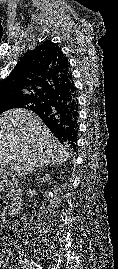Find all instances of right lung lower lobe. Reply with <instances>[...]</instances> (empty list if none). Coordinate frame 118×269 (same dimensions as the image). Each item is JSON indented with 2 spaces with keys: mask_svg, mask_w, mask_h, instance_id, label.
Returning a JSON list of instances; mask_svg holds the SVG:
<instances>
[{
  "mask_svg": "<svg viewBox=\"0 0 118 269\" xmlns=\"http://www.w3.org/2000/svg\"><path fill=\"white\" fill-rule=\"evenodd\" d=\"M37 112L43 113L51 120L58 140L76 151L78 133V100L72 83L67 89L53 96ZM36 112V113H37Z\"/></svg>",
  "mask_w": 118,
  "mask_h": 269,
  "instance_id": "right-lung-lower-lobe-1",
  "label": "right lung lower lobe"
}]
</instances>
